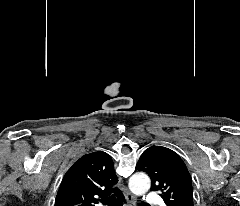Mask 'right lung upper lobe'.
Returning <instances> with one entry per match:
<instances>
[{"mask_svg": "<svg viewBox=\"0 0 240 206\" xmlns=\"http://www.w3.org/2000/svg\"><path fill=\"white\" fill-rule=\"evenodd\" d=\"M117 182L110 155L103 151L86 154L65 174L55 206H94L98 197H120V190L113 188Z\"/></svg>", "mask_w": 240, "mask_h": 206, "instance_id": "cb5924a9", "label": "right lung upper lobe"}]
</instances>
